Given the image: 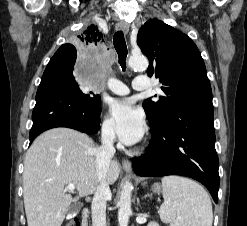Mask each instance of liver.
Instances as JSON below:
<instances>
[{
	"instance_id": "liver-1",
	"label": "liver",
	"mask_w": 247,
	"mask_h": 226,
	"mask_svg": "<svg viewBox=\"0 0 247 226\" xmlns=\"http://www.w3.org/2000/svg\"><path fill=\"white\" fill-rule=\"evenodd\" d=\"M95 145L87 135L54 128L35 139L26 153L23 197L28 226H61L72 202L96 192L100 185ZM120 166L111 161L105 181L114 184ZM74 184L77 196L65 187Z\"/></svg>"
}]
</instances>
